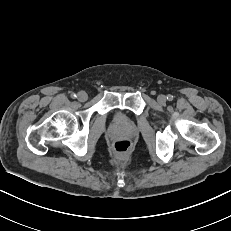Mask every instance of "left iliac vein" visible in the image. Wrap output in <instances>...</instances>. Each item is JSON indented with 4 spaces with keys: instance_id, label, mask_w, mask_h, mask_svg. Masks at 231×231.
<instances>
[{
    "instance_id": "obj_1",
    "label": "left iliac vein",
    "mask_w": 231,
    "mask_h": 231,
    "mask_svg": "<svg viewBox=\"0 0 231 231\" xmlns=\"http://www.w3.org/2000/svg\"><path fill=\"white\" fill-rule=\"evenodd\" d=\"M157 100H158V102H159L160 104H164V103L166 102L167 99H166V96H165V95L161 94V95L158 96Z\"/></svg>"
}]
</instances>
